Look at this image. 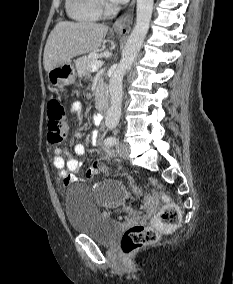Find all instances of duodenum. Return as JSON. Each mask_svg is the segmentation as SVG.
Returning a JSON list of instances; mask_svg holds the SVG:
<instances>
[{
    "label": "duodenum",
    "mask_w": 233,
    "mask_h": 284,
    "mask_svg": "<svg viewBox=\"0 0 233 284\" xmlns=\"http://www.w3.org/2000/svg\"><path fill=\"white\" fill-rule=\"evenodd\" d=\"M96 106L100 113H104L108 106L107 97L105 95H101L100 97H98Z\"/></svg>",
    "instance_id": "410a0bca"
}]
</instances>
